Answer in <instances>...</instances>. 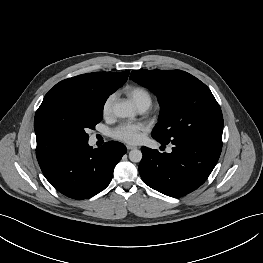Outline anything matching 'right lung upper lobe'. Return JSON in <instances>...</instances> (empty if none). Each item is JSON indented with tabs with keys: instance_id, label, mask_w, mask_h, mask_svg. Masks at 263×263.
Returning a JSON list of instances; mask_svg holds the SVG:
<instances>
[{
	"instance_id": "right-lung-upper-lobe-1",
	"label": "right lung upper lobe",
	"mask_w": 263,
	"mask_h": 263,
	"mask_svg": "<svg viewBox=\"0 0 263 263\" xmlns=\"http://www.w3.org/2000/svg\"><path fill=\"white\" fill-rule=\"evenodd\" d=\"M129 71L121 73L93 72L65 79L57 83L44 97L45 106L53 102H72L96 91L104 90L111 94L127 80Z\"/></svg>"
}]
</instances>
